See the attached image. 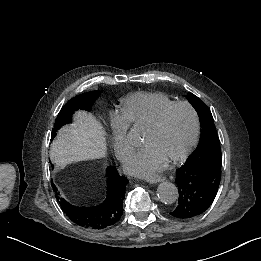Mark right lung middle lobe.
I'll list each match as a JSON object with an SVG mask.
<instances>
[{
    "label": "right lung middle lobe",
    "mask_w": 261,
    "mask_h": 261,
    "mask_svg": "<svg viewBox=\"0 0 261 261\" xmlns=\"http://www.w3.org/2000/svg\"><path fill=\"white\" fill-rule=\"evenodd\" d=\"M100 91H92L81 94L77 97H74L67 102L60 110L54 124L52 131V139L55 137L56 132L64 125L71 123V115L78 109H83L89 111L92 107V103L99 96Z\"/></svg>",
    "instance_id": "1"
}]
</instances>
